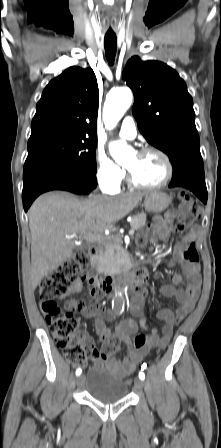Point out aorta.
<instances>
[{"label": "aorta", "mask_w": 221, "mask_h": 448, "mask_svg": "<svg viewBox=\"0 0 221 448\" xmlns=\"http://www.w3.org/2000/svg\"><path fill=\"white\" fill-rule=\"evenodd\" d=\"M132 98L131 90L126 87L117 89L108 96L104 108V122L107 128L116 126L130 107ZM109 151L118 164L124 165L132 150L125 142L115 141L109 144Z\"/></svg>", "instance_id": "762f6f07"}]
</instances>
